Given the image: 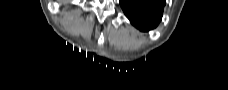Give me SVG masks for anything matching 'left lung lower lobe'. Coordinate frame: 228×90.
Returning a JSON list of instances; mask_svg holds the SVG:
<instances>
[{
	"label": "left lung lower lobe",
	"instance_id": "0a47b994",
	"mask_svg": "<svg viewBox=\"0 0 228 90\" xmlns=\"http://www.w3.org/2000/svg\"><path fill=\"white\" fill-rule=\"evenodd\" d=\"M120 5L133 25L147 31L161 20L165 0H120Z\"/></svg>",
	"mask_w": 228,
	"mask_h": 90
}]
</instances>
